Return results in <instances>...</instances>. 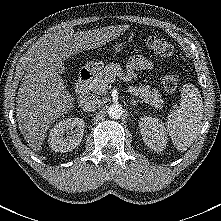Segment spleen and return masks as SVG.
I'll list each match as a JSON object with an SVG mask.
<instances>
[{
    "mask_svg": "<svg viewBox=\"0 0 221 221\" xmlns=\"http://www.w3.org/2000/svg\"><path fill=\"white\" fill-rule=\"evenodd\" d=\"M203 119V101L198 89L190 83L181 89L180 106L166 121L167 131L177 150L184 152L195 141Z\"/></svg>",
    "mask_w": 221,
    "mask_h": 221,
    "instance_id": "3e777b00",
    "label": "spleen"
}]
</instances>
